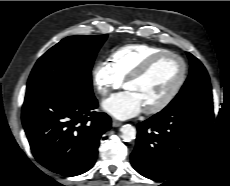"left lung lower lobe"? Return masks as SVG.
Segmentation results:
<instances>
[{
    "label": "left lung lower lobe",
    "mask_w": 230,
    "mask_h": 186,
    "mask_svg": "<svg viewBox=\"0 0 230 186\" xmlns=\"http://www.w3.org/2000/svg\"><path fill=\"white\" fill-rule=\"evenodd\" d=\"M214 118L213 100L163 109L137 126L134 169L146 178L165 180L181 171L204 145Z\"/></svg>",
    "instance_id": "0a47b994"
}]
</instances>
